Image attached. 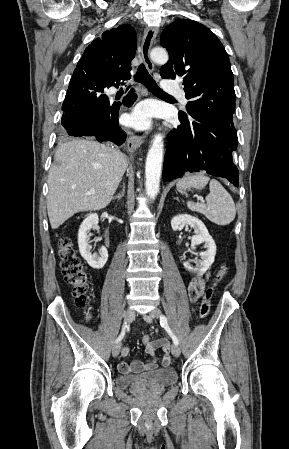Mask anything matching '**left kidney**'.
<instances>
[{
  "label": "left kidney",
  "instance_id": "left-kidney-1",
  "mask_svg": "<svg viewBox=\"0 0 289 449\" xmlns=\"http://www.w3.org/2000/svg\"><path fill=\"white\" fill-rule=\"evenodd\" d=\"M188 225L195 230V235L191 240L192 249H195L196 245L204 243L206 251L200 253L201 261H199L195 267L191 266L188 262H184L183 265L185 269L190 272L204 274L214 262L216 244L200 219L191 215L181 214L173 217L171 220V227L174 231H180L184 226Z\"/></svg>",
  "mask_w": 289,
  "mask_h": 449
}]
</instances>
